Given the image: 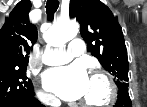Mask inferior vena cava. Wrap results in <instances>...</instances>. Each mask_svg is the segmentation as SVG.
<instances>
[{
    "label": "inferior vena cava",
    "mask_w": 147,
    "mask_h": 107,
    "mask_svg": "<svg viewBox=\"0 0 147 107\" xmlns=\"http://www.w3.org/2000/svg\"><path fill=\"white\" fill-rule=\"evenodd\" d=\"M44 100L49 102L54 107H59L61 104L60 100H58L57 98H55L54 96H51V95L45 96Z\"/></svg>",
    "instance_id": "1"
}]
</instances>
